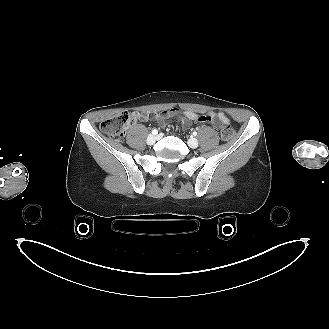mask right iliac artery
<instances>
[{"mask_svg": "<svg viewBox=\"0 0 329 329\" xmlns=\"http://www.w3.org/2000/svg\"><path fill=\"white\" fill-rule=\"evenodd\" d=\"M152 134H153V135H157V134H158V130H157V129H153V130H152Z\"/></svg>", "mask_w": 329, "mask_h": 329, "instance_id": "obj_1", "label": "right iliac artery"}]
</instances>
